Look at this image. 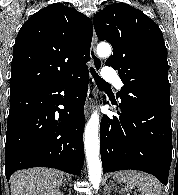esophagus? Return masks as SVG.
Wrapping results in <instances>:
<instances>
[{
    "label": "esophagus",
    "instance_id": "esophagus-1",
    "mask_svg": "<svg viewBox=\"0 0 178 195\" xmlns=\"http://www.w3.org/2000/svg\"><path fill=\"white\" fill-rule=\"evenodd\" d=\"M97 42H98V39H97L96 33L94 31L92 43H91V47H90V56H91L92 66H93L94 70L100 71V69L102 67V60L96 54ZM96 96H97V93L95 90L88 91L87 99H86L85 107H84L85 118H88V116H89V114L94 106Z\"/></svg>",
    "mask_w": 178,
    "mask_h": 195
}]
</instances>
